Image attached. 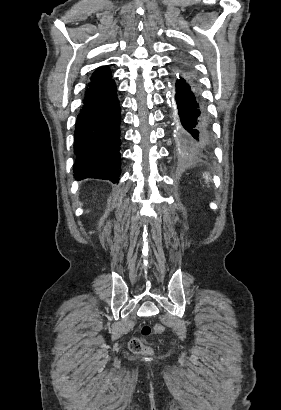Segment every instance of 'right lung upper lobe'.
<instances>
[{
    "label": "right lung upper lobe",
    "instance_id": "1",
    "mask_svg": "<svg viewBox=\"0 0 281 410\" xmlns=\"http://www.w3.org/2000/svg\"><path fill=\"white\" fill-rule=\"evenodd\" d=\"M112 81V75L107 67L98 68L91 77L87 90L95 89Z\"/></svg>",
    "mask_w": 281,
    "mask_h": 410
}]
</instances>
